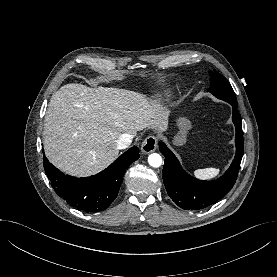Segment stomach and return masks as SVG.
<instances>
[{
	"label": "stomach",
	"instance_id": "obj_1",
	"mask_svg": "<svg viewBox=\"0 0 277 277\" xmlns=\"http://www.w3.org/2000/svg\"><path fill=\"white\" fill-rule=\"evenodd\" d=\"M177 124L180 128V131L178 135L175 137V142L179 145H182L186 142V135L191 127V122L188 118L180 117L177 121Z\"/></svg>",
	"mask_w": 277,
	"mask_h": 277
}]
</instances>
